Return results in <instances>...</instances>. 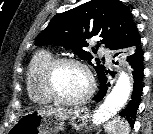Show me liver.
I'll use <instances>...</instances> for the list:
<instances>
[{
  "label": "liver",
  "mask_w": 153,
  "mask_h": 134,
  "mask_svg": "<svg viewBox=\"0 0 153 134\" xmlns=\"http://www.w3.org/2000/svg\"><path fill=\"white\" fill-rule=\"evenodd\" d=\"M50 111L56 112L58 110H61L62 108H53V107H49L48 108Z\"/></svg>",
  "instance_id": "liver-1"
}]
</instances>
